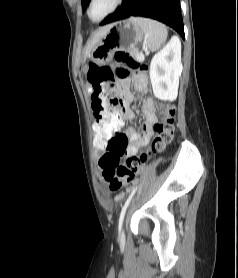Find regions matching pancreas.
Returning a JSON list of instances; mask_svg holds the SVG:
<instances>
[{
  "instance_id": "1",
  "label": "pancreas",
  "mask_w": 238,
  "mask_h": 278,
  "mask_svg": "<svg viewBox=\"0 0 238 278\" xmlns=\"http://www.w3.org/2000/svg\"><path fill=\"white\" fill-rule=\"evenodd\" d=\"M130 55H131L132 57L138 59L139 56H140V53H139L138 50L135 48V49L130 50Z\"/></svg>"
}]
</instances>
